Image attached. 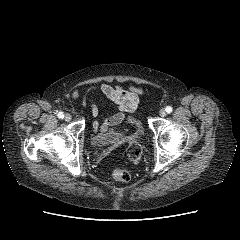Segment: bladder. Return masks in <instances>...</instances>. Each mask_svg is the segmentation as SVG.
<instances>
[{
  "instance_id": "31cf9c89",
  "label": "bladder",
  "mask_w": 240,
  "mask_h": 240,
  "mask_svg": "<svg viewBox=\"0 0 240 240\" xmlns=\"http://www.w3.org/2000/svg\"><path fill=\"white\" fill-rule=\"evenodd\" d=\"M128 131H119L115 128H111L104 132H98L91 136L90 143L96 148H105L108 146L118 145L125 139H139L143 134V127L141 122L130 116L127 119Z\"/></svg>"
}]
</instances>
